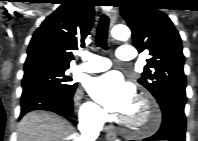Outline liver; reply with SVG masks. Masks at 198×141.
I'll use <instances>...</instances> for the list:
<instances>
[{"instance_id": "1", "label": "liver", "mask_w": 198, "mask_h": 141, "mask_svg": "<svg viewBox=\"0 0 198 141\" xmlns=\"http://www.w3.org/2000/svg\"><path fill=\"white\" fill-rule=\"evenodd\" d=\"M73 126L62 117L45 111L27 113L18 125V141H76Z\"/></svg>"}]
</instances>
